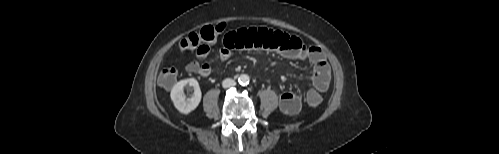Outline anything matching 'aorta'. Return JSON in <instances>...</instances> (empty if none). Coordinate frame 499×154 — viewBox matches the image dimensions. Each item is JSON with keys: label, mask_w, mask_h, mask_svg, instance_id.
Wrapping results in <instances>:
<instances>
[{"label": "aorta", "mask_w": 499, "mask_h": 154, "mask_svg": "<svg viewBox=\"0 0 499 154\" xmlns=\"http://www.w3.org/2000/svg\"><path fill=\"white\" fill-rule=\"evenodd\" d=\"M249 81H250V78H249V76H248V75H246V74H242V75H240V76L238 77V82H239V84H241V85H247V84L249 83Z\"/></svg>", "instance_id": "obj_1"}]
</instances>
